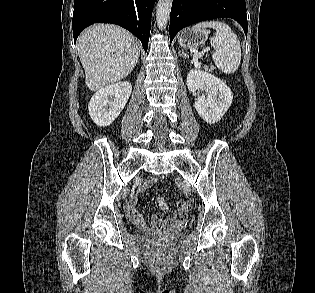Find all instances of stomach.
I'll use <instances>...</instances> for the list:
<instances>
[{"label":"stomach","mask_w":315,"mask_h":293,"mask_svg":"<svg viewBox=\"0 0 315 293\" xmlns=\"http://www.w3.org/2000/svg\"><path fill=\"white\" fill-rule=\"evenodd\" d=\"M207 39L208 32L206 30L191 31L190 29H186L180 34L178 42L181 47L194 51L203 45Z\"/></svg>","instance_id":"0dacf381"}]
</instances>
